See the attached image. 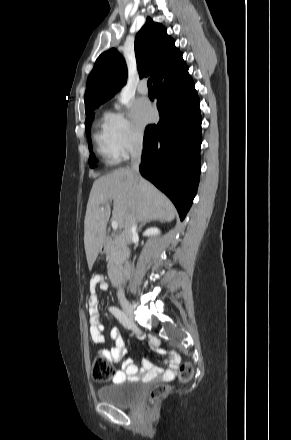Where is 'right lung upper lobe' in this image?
I'll list each match as a JSON object with an SVG mask.
<instances>
[{
  "instance_id": "right-lung-upper-lobe-1",
  "label": "right lung upper lobe",
  "mask_w": 291,
  "mask_h": 440,
  "mask_svg": "<svg viewBox=\"0 0 291 440\" xmlns=\"http://www.w3.org/2000/svg\"><path fill=\"white\" fill-rule=\"evenodd\" d=\"M135 55L140 77L150 75L158 81L186 66L175 41L166 34L162 24L150 17L135 38ZM127 67L122 55L111 48L102 53L88 76L85 92L86 113L110 99L126 84Z\"/></svg>"
}]
</instances>
